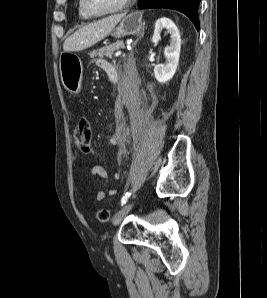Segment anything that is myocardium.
Here are the masks:
<instances>
[{
    "mask_svg": "<svg viewBox=\"0 0 267 298\" xmlns=\"http://www.w3.org/2000/svg\"><path fill=\"white\" fill-rule=\"evenodd\" d=\"M79 1H80L81 9L87 16L93 17V18H100V17H106V16L115 15V14L124 12L129 7V5L133 0H123L122 3L116 9L109 12H104V13H94L87 8L85 0H79Z\"/></svg>",
    "mask_w": 267,
    "mask_h": 298,
    "instance_id": "myocardium-1",
    "label": "myocardium"
}]
</instances>
